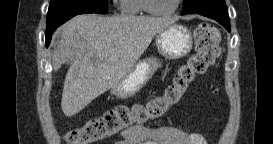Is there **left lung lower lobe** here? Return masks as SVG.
Wrapping results in <instances>:
<instances>
[{
    "instance_id": "obj_1",
    "label": "left lung lower lobe",
    "mask_w": 273,
    "mask_h": 144,
    "mask_svg": "<svg viewBox=\"0 0 273 144\" xmlns=\"http://www.w3.org/2000/svg\"><path fill=\"white\" fill-rule=\"evenodd\" d=\"M218 3L220 4V6L219 5L200 6L199 9L195 10L194 13L191 14H199L215 19L220 24H222L228 31H230V22L225 5V0L218 1Z\"/></svg>"
}]
</instances>
